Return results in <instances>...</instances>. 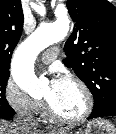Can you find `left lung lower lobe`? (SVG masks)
Returning <instances> with one entry per match:
<instances>
[{
	"label": "left lung lower lobe",
	"mask_w": 116,
	"mask_h": 134,
	"mask_svg": "<svg viewBox=\"0 0 116 134\" xmlns=\"http://www.w3.org/2000/svg\"><path fill=\"white\" fill-rule=\"evenodd\" d=\"M105 116H116V104H114V107H106L99 110L93 108L92 114L90 115L89 119Z\"/></svg>",
	"instance_id": "left-lung-lower-lobe-1"
}]
</instances>
